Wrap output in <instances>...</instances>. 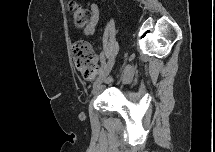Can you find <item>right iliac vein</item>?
Masks as SVG:
<instances>
[{
	"label": "right iliac vein",
	"mask_w": 215,
	"mask_h": 152,
	"mask_svg": "<svg viewBox=\"0 0 215 152\" xmlns=\"http://www.w3.org/2000/svg\"><path fill=\"white\" fill-rule=\"evenodd\" d=\"M113 66H114V59H111L106 64V66L104 67V69L102 70V72L100 73L96 81L94 82L92 93H94L99 88V86L103 83V81L111 72Z\"/></svg>",
	"instance_id": "1"
}]
</instances>
